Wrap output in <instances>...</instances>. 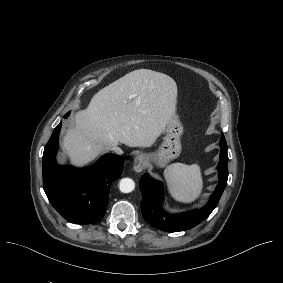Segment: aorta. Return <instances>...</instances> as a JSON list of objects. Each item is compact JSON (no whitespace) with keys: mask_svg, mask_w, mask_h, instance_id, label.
<instances>
[{"mask_svg":"<svg viewBox=\"0 0 283 283\" xmlns=\"http://www.w3.org/2000/svg\"><path fill=\"white\" fill-rule=\"evenodd\" d=\"M119 189L123 193H130L135 189V182L130 178H123L119 182Z\"/></svg>","mask_w":283,"mask_h":283,"instance_id":"aorta-1","label":"aorta"}]
</instances>
